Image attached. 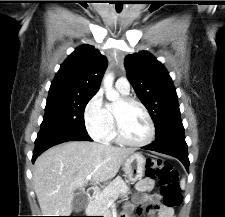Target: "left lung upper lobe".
Instances as JSON below:
<instances>
[{
  "mask_svg": "<svg viewBox=\"0 0 225 217\" xmlns=\"http://www.w3.org/2000/svg\"><path fill=\"white\" fill-rule=\"evenodd\" d=\"M124 65L131 85L154 122L155 139L184 129L176 89L164 66L146 51L126 56Z\"/></svg>",
  "mask_w": 225,
  "mask_h": 217,
  "instance_id": "left-lung-upper-lobe-1",
  "label": "left lung upper lobe"
}]
</instances>
